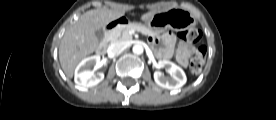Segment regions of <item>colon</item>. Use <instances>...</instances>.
<instances>
[{"mask_svg": "<svg viewBox=\"0 0 276 120\" xmlns=\"http://www.w3.org/2000/svg\"><path fill=\"white\" fill-rule=\"evenodd\" d=\"M181 41L196 44L201 41L202 34L196 28H191L187 31H182L178 34ZM206 60V47L204 45H198L195 48L193 58L190 63V71L192 74H199L205 64Z\"/></svg>", "mask_w": 276, "mask_h": 120, "instance_id": "colon-1", "label": "colon"}]
</instances>
